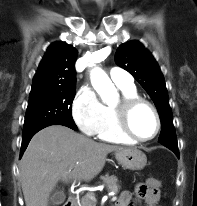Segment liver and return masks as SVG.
I'll list each match as a JSON object with an SVG mask.
<instances>
[{"mask_svg":"<svg viewBox=\"0 0 197 206\" xmlns=\"http://www.w3.org/2000/svg\"><path fill=\"white\" fill-rule=\"evenodd\" d=\"M118 150L124 148L95 142L61 125L39 131L19 166L26 206H48L59 180L90 181L103 169L107 155Z\"/></svg>","mask_w":197,"mask_h":206,"instance_id":"obj_1","label":"liver"}]
</instances>
